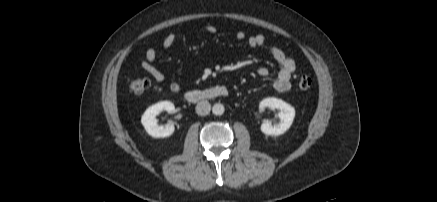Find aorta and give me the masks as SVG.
I'll list each match as a JSON object with an SVG mask.
<instances>
[{
    "mask_svg": "<svg viewBox=\"0 0 437 202\" xmlns=\"http://www.w3.org/2000/svg\"><path fill=\"white\" fill-rule=\"evenodd\" d=\"M224 111H225V108H224L223 104L216 103L212 107V112L214 115H218V116L222 115L224 113Z\"/></svg>",
    "mask_w": 437,
    "mask_h": 202,
    "instance_id": "obj_1",
    "label": "aorta"
}]
</instances>
